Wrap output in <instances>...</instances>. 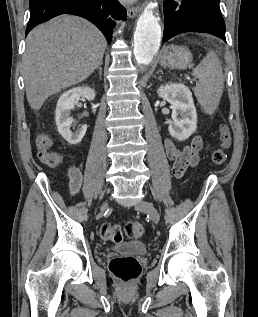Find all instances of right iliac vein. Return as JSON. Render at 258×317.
<instances>
[{"mask_svg":"<svg viewBox=\"0 0 258 317\" xmlns=\"http://www.w3.org/2000/svg\"><path fill=\"white\" fill-rule=\"evenodd\" d=\"M109 207V202L107 200H104L102 202V210L101 213H99V216H102V213H104V210L107 209Z\"/></svg>","mask_w":258,"mask_h":317,"instance_id":"63e3f726","label":"right iliac vein"}]
</instances>
